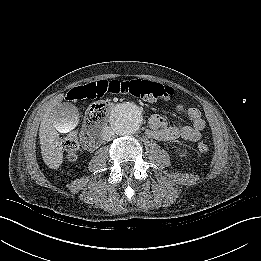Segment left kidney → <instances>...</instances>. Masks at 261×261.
Here are the masks:
<instances>
[{"instance_id": "left-kidney-1", "label": "left kidney", "mask_w": 261, "mask_h": 261, "mask_svg": "<svg viewBox=\"0 0 261 261\" xmlns=\"http://www.w3.org/2000/svg\"><path fill=\"white\" fill-rule=\"evenodd\" d=\"M177 151H178V154L182 157L183 156V154H182V152H181V150H180V148H178L177 149Z\"/></svg>"}]
</instances>
